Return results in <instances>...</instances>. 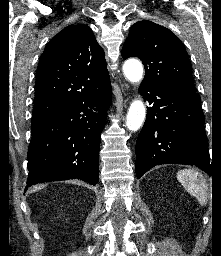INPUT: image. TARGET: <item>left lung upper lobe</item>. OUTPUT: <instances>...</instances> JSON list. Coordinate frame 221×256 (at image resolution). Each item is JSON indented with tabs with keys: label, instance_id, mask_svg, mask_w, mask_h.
<instances>
[{
	"label": "left lung upper lobe",
	"instance_id": "obj_1",
	"mask_svg": "<svg viewBox=\"0 0 221 256\" xmlns=\"http://www.w3.org/2000/svg\"><path fill=\"white\" fill-rule=\"evenodd\" d=\"M124 59L138 57L145 67L146 86L195 92L191 63L182 42L169 29L151 21L130 27L122 49Z\"/></svg>",
	"mask_w": 221,
	"mask_h": 256
}]
</instances>
